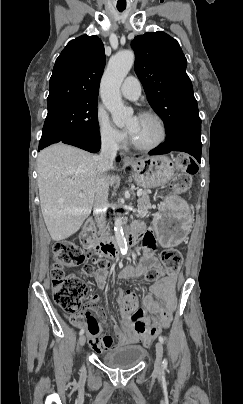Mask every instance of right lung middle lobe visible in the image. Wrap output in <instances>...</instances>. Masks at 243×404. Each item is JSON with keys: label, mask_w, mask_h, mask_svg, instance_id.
Instances as JSON below:
<instances>
[{"label": "right lung middle lobe", "mask_w": 243, "mask_h": 404, "mask_svg": "<svg viewBox=\"0 0 243 404\" xmlns=\"http://www.w3.org/2000/svg\"><path fill=\"white\" fill-rule=\"evenodd\" d=\"M97 99L67 100L48 105L39 148L60 142L69 134L100 137Z\"/></svg>", "instance_id": "obj_1"}]
</instances>
